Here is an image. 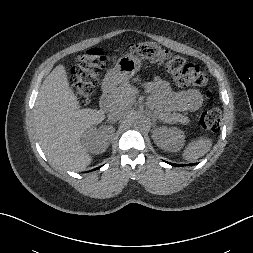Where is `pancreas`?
I'll return each instance as SVG.
<instances>
[{
  "label": "pancreas",
  "instance_id": "obj_1",
  "mask_svg": "<svg viewBox=\"0 0 253 253\" xmlns=\"http://www.w3.org/2000/svg\"><path fill=\"white\" fill-rule=\"evenodd\" d=\"M135 92L136 88L125 82L111 93L110 98L113 103L128 105L133 102ZM149 105L158 117L165 122L187 124L190 121L186 115L172 113L167 107L156 100L150 99Z\"/></svg>",
  "mask_w": 253,
  "mask_h": 253
}]
</instances>
